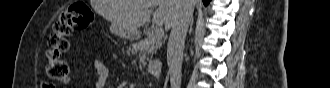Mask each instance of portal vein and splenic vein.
Wrapping results in <instances>:
<instances>
[{
  "label": "portal vein and splenic vein",
  "mask_w": 330,
  "mask_h": 88,
  "mask_svg": "<svg viewBox=\"0 0 330 88\" xmlns=\"http://www.w3.org/2000/svg\"><path fill=\"white\" fill-rule=\"evenodd\" d=\"M154 37L161 40L164 37V30L161 26H157L155 29Z\"/></svg>",
  "instance_id": "1"
}]
</instances>
